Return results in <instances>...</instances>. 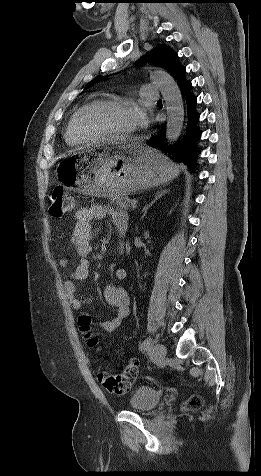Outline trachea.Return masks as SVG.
<instances>
[{
    "mask_svg": "<svg viewBox=\"0 0 261 476\" xmlns=\"http://www.w3.org/2000/svg\"><path fill=\"white\" fill-rule=\"evenodd\" d=\"M158 102H162V100H158Z\"/></svg>",
    "mask_w": 261,
    "mask_h": 476,
    "instance_id": "obj_1",
    "label": "trachea"
}]
</instances>
